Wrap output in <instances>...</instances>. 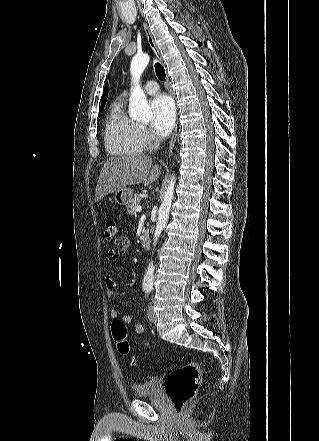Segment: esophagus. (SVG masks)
<instances>
[{
    "label": "esophagus",
    "instance_id": "1",
    "mask_svg": "<svg viewBox=\"0 0 319 441\" xmlns=\"http://www.w3.org/2000/svg\"><path fill=\"white\" fill-rule=\"evenodd\" d=\"M143 26H144V30H145V33H146V38H147L148 43H149V45H150V47H151V49H152V51H153V53H154V55H155V58H156L161 64H163V60H162V57H161L160 51H159V49H158V47H157V45H156V43H155V40H154V38H153V36H152V34H151L149 28L147 27V25H146L145 23L143 24ZM166 82H167L168 85L170 84L169 75H168L167 73H166ZM170 94H171L172 96H174V93H173V91H172L171 89H170ZM177 129H178V124H177V122H176V124H175V128H174V131H173V134H172V137H171L170 143H169V151H170V152L173 150V148H174V146H175V143H176Z\"/></svg>",
    "mask_w": 319,
    "mask_h": 441
}]
</instances>
